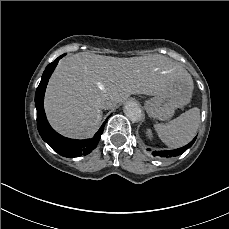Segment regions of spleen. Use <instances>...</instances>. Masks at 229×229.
<instances>
[{
	"label": "spleen",
	"instance_id": "1",
	"mask_svg": "<svg viewBox=\"0 0 229 229\" xmlns=\"http://www.w3.org/2000/svg\"><path fill=\"white\" fill-rule=\"evenodd\" d=\"M200 124V110L195 107L165 124H155L159 138L168 147L179 148L188 144L196 135Z\"/></svg>",
	"mask_w": 229,
	"mask_h": 229
}]
</instances>
